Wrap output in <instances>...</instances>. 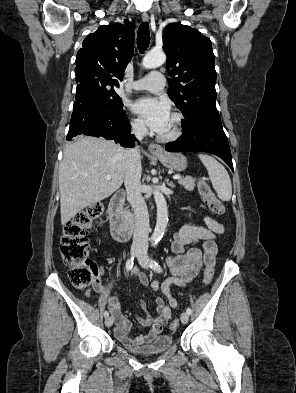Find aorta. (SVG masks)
<instances>
[{
	"label": "aorta",
	"instance_id": "aorta-1",
	"mask_svg": "<svg viewBox=\"0 0 296 393\" xmlns=\"http://www.w3.org/2000/svg\"><path fill=\"white\" fill-rule=\"evenodd\" d=\"M165 61H166V55L164 52L150 51L143 58L142 66L147 69H154L163 65ZM153 194L157 207V221H156L154 232L151 236V241L157 242L162 238L165 229L167 227L168 208H167V202L165 200V197L160 191L155 190Z\"/></svg>",
	"mask_w": 296,
	"mask_h": 393
}]
</instances>
